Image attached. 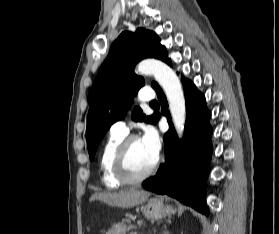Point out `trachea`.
Segmentation results:
<instances>
[{"instance_id":"trachea-1","label":"trachea","mask_w":279,"mask_h":234,"mask_svg":"<svg viewBox=\"0 0 279 234\" xmlns=\"http://www.w3.org/2000/svg\"><path fill=\"white\" fill-rule=\"evenodd\" d=\"M150 105H158V102L156 100H154L150 103Z\"/></svg>"}]
</instances>
